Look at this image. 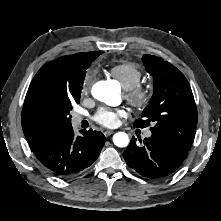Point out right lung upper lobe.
I'll use <instances>...</instances> for the list:
<instances>
[{
    "label": "right lung upper lobe",
    "mask_w": 221,
    "mask_h": 221,
    "mask_svg": "<svg viewBox=\"0 0 221 221\" xmlns=\"http://www.w3.org/2000/svg\"><path fill=\"white\" fill-rule=\"evenodd\" d=\"M102 53L90 51L59 57L46 63L34 76L22 110L23 132L33 152L71 126L54 115L53 105L81 93L86 69Z\"/></svg>",
    "instance_id": "right-lung-upper-lobe-1"
}]
</instances>
